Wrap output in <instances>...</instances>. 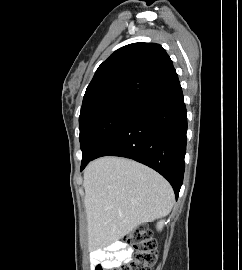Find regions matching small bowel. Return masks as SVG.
I'll return each instance as SVG.
<instances>
[{"mask_svg":"<svg viewBox=\"0 0 242 270\" xmlns=\"http://www.w3.org/2000/svg\"><path fill=\"white\" fill-rule=\"evenodd\" d=\"M132 254V249L121 242L110 245L107 250H97L93 252L92 263L95 266L100 264L102 270H112L121 263L127 262Z\"/></svg>","mask_w":242,"mask_h":270,"instance_id":"obj_1","label":"small bowel"}]
</instances>
